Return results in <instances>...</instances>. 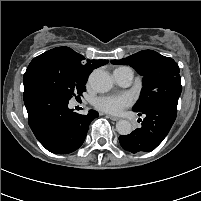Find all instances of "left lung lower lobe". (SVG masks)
<instances>
[{
  "label": "left lung lower lobe",
  "mask_w": 201,
  "mask_h": 201,
  "mask_svg": "<svg viewBox=\"0 0 201 201\" xmlns=\"http://www.w3.org/2000/svg\"><path fill=\"white\" fill-rule=\"evenodd\" d=\"M138 113L139 116L142 114L145 116L142 120V126L129 135L120 136L119 141L126 151L132 153L151 152L170 131L177 116V105L158 103Z\"/></svg>",
  "instance_id": "1"
}]
</instances>
